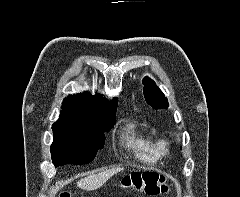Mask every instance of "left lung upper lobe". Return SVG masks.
<instances>
[{
	"label": "left lung upper lobe",
	"mask_w": 240,
	"mask_h": 197,
	"mask_svg": "<svg viewBox=\"0 0 240 197\" xmlns=\"http://www.w3.org/2000/svg\"><path fill=\"white\" fill-rule=\"evenodd\" d=\"M143 83H144L143 92L146 102L154 109L168 108L169 103L167 98H165V95L156 86L154 81H152L149 78H145L143 80Z\"/></svg>",
	"instance_id": "1"
}]
</instances>
